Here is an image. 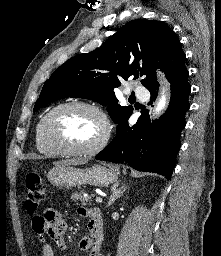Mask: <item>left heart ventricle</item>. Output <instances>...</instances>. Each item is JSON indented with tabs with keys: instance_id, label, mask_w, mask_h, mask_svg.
<instances>
[{
	"instance_id": "left-heart-ventricle-1",
	"label": "left heart ventricle",
	"mask_w": 221,
	"mask_h": 256,
	"mask_svg": "<svg viewBox=\"0 0 221 256\" xmlns=\"http://www.w3.org/2000/svg\"><path fill=\"white\" fill-rule=\"evenodd\" d=\"M50 135L66 145L85 148L95 144L103 134V123L92 111L68 108L58 112L50 122Z\"/></svg>"
}]
</instances>
